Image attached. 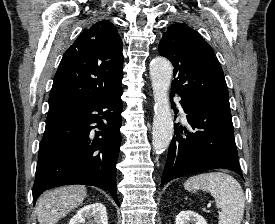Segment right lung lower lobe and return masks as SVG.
Returning <instances> with one entry per match:
<instances>
[{
    "label": "right lung lower lobe",
    "instance_id": "1",
    "mask_svg": "<svg viewBox=\"0 0 275 224\" xmlns=\"http://www.w3.org/2000/svg\"><path fill=\"white\" fill-rule=\"evenodd\" d=\"M121 95L122 88L82 105L48 112L39 146L34 202L53 187L83 184L107 190L119 206L115 170L121 143Z\"/></svg>",
    "mask_w": 275,
    "mask_h": 224
}]
</instances>
